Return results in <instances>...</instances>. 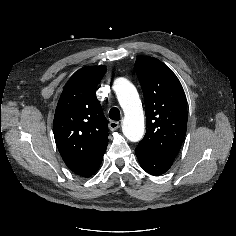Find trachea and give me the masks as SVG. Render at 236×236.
I'll return each instance as SVG.
<instances>
[{
	"mask_svg": "<svg viewBox=\"0 0 236 236\" xmlns=\"http://www.w3.org/2000/svg\"><path fill=\"white\" fill-rule=\"evenodd\" d=\"M109 118L111 120L119 121L120 120V111H119V109L116 108V107H113L112 109H110Z\"/></svg>",
	"mask_w": 236,
	"mask_h": 236,
	"instance_id": "trachea-1",
	"label": "trachea"
}]
</instances>
